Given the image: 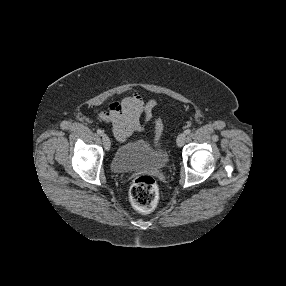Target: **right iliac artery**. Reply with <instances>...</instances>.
<instances>
[{
    "mask_svg": "<svg viewBox=\"0 0 286 286\" xmlns=\"http://www.w3.org/2000/svg\"><path fill=\"white\" fill-rule=\"evenodd\" d=\"M97 134H99L100 136H102V135H103V130L98 129V130H97Z\"/></svg>",
    "mask_w": 286,
    "mask_h": 286,
    "instance_id": "82829eb1",
    "label": "right iliac artery"
}]
</instances>
